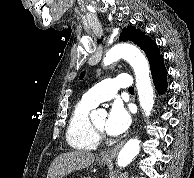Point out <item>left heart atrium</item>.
Masks as SVG:
<instances>
[{
    "mask_svg": "<svg viewBox=\"0 0 194 178\" xmlns=\"http://www.w3.org/2000/svg\"><path fill=\"white\" fill-rule=\"evenodd\" d=\"M131 124V117L128 111L119 103H115L105 121L104 129L111 136L124 133Z\"/></svg>",
    "mask_w": 194,
    "mask_h": 178,
    "instance_id": "left-heart-atrium-1",
    "label": "left heart atrium"
}]
</instances>
